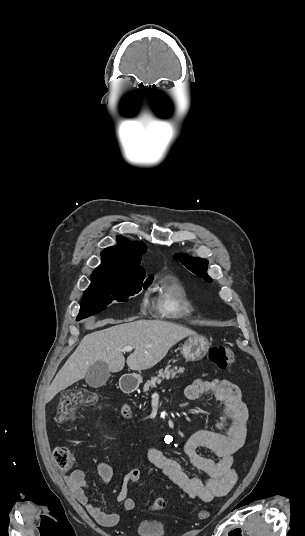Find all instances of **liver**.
Instances as JSON below:
<instances>
[{
  "instance_id": "obj_1",
  "label": "liver",
  "mask_w": 305,
  "mask_h": 536,
  "mask_svg": "<svg viewBox=\"0 0 305 536\" xmlns=\"http://www.w3.org/2000/svg\"><path fill=\"white\" fill-rule=\"evenodd\" d=\"M129 318V324L113 326L101 332H93L84 336L77 350L70 356L63 368L55 376L51 386L46 388L45 404L51 402L54 396L72 386L75 382L83 380L89 366L101 360L106 362L110 372H121L125 366V358L120 352L124 346H133L134 352L128 356L126 362L130 370H149L163 360L168 350L177 342L196 336V332L170 324L161 320H137ZM105 324H117L115 320H103Z\"/></svg>"
}]
</instances>
